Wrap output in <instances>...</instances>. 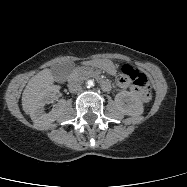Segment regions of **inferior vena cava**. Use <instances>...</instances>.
<instances>
[{
	"label": "inferior vena cava",
	"mask_w": 187,
	"mask_h": 187,
	"mask_svg": "<svg viewBox=\"0 0 187 187\" xmlns=\"http://www.w3.org/2000/svg\"><path fill=\"white\" fill-rule=\"evenodd\" d=\"M69 91L71 93H80L82 92V85L79 82H71L68 85Z\"/></svg>",
	"instance_id": "602c4592"
}]
</instances>
